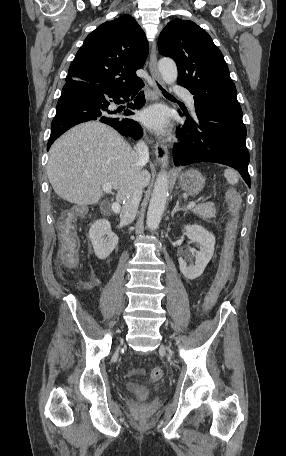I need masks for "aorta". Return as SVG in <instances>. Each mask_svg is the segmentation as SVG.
I'll return each mask as SVG.
<instances>
[{
    "instance_id": "762f6f07",
    "label": "aorta",
    "mask_w": 286,
    "mask_h": 456,
    "mask_svg": "<svg viewBox=\"0 0 286 456\" xmlns=\"http://www.w3.org/2000/svg\"><path fill=\"white\" fill-rule=\"evenodd\" d=\"M158 69L166 84H173L177 80V66L172 59H160ZM168 183L169 177L167 172L161 170L157 176L147 212L146 223L150 230L157 229L160 224L168 197Z\"/></svg>"
}]
</instances>
